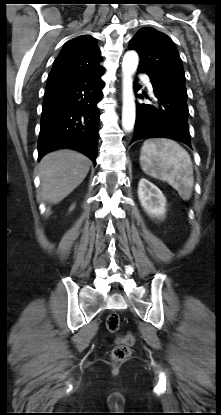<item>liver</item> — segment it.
<instances>
[{
  "mask_svg": "<svg viewBox=\"0 0 221 415\" xmlns=\"http://www.w3.org/2000/svg\"><path fill=\"white\" fill-rule=\"evenodd\" d=\"M91 161L83 154L63 149L45 155L39 163L44 200L57 204L85 179Z\"/></svg>",
  "mask_w": 221,
  "mask_h": 415,
  "instance_id": "1",
  "label": "liver"
}]
</instances>
